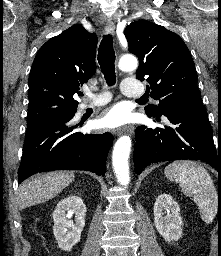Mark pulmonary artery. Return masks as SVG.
Masks as SVG:
<instances>
[{"mask_svg":"<svg viewBox=\"0 0 221 256\" xmlns=\"http://www.w3.org/2000/svg\"><path fill=\"white\" fill-rule=\"evenodd\" d=\"M122 93L127 97H140L144 94V87L141 82L136 79L127 78L122 82ZM92 98L89 104H82L79 113L90 107H97L105 104L109 100V95L88 94Z\"/></svg>","mask_w":221,"mask_h":256,"instance_id":"pulmonary-artery-1","label":"pulmonary artery"}]
</instances>
